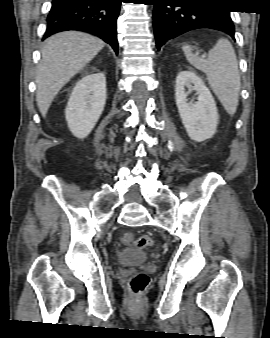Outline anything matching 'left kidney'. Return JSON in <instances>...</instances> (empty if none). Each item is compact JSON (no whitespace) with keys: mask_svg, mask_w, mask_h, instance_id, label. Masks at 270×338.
Masks as SVG:
<instances>
[{"mask_svg":"<svg viewBox=\"0 0 270 338\" xmlns=\"http://www.w3.org/2000/svg\"><path fill=\"white\" fill-rule=\"evenodd\" d=\"M185 87L198 93L197 102H187L188 93L185 91ZM175 100L188 136L196 142L212 138L216 132L219 118L216 103L203 80L193 71L178 73Z\"/></svg>","mask_w":270,"mask_h":338,"instance_id":"1","label":"left kidney"}]
</instances>
